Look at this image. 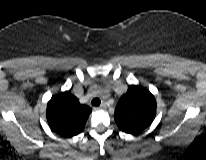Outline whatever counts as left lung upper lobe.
<instances>
[{
	"label": "left lung upper lobe",
	"instance_id": "1",
	"mask_svg": "<svg viewBox=\"0 0 206 160\" xmlns=\"http://www.w3.org/2000/svg\"><path fill=\"white\" fill-rule=\"evenodd\" d=\"M155 97L147 89L131 85L120 98L114 119L123 132L137 135L151 125L156 115Z\"/></svg>",
	"mask_w": 206,
	"mask_h": 160
}]
</instances>
